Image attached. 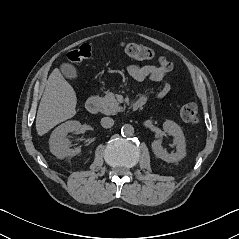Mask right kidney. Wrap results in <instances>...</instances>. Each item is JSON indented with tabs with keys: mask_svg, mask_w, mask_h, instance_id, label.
Masks as SVG:
<instances>
[{
	"mask_svg": "<svg viewBox=\"0 0 239 239\" xmlns=\"http://www.w3.org/2000/svg\"><path fill=\"white\" fill-rule=\"evenodd\" d=\"M80 129L81 123L73 120L67 121L55 128L49 139L50 152L60 159L80 153V148L70 149L66 139L69 132H79Z\"/></svg>",
	"mask_w": 239,
	"mask_h": 239,
	"instance_id": "ca27d5eb",
	"label": "right kidney"
}]
</instances>
